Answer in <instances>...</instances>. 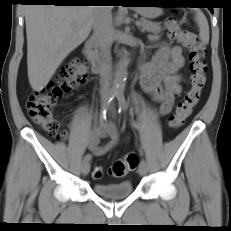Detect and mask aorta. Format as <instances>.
<instances>
[{"mask_svg":"<svg viewBox=\"0 0 231 231\" xmlns=\"http://www.w3.org/2000/svg\"><path fill=\"white\" fill-rule=\"evenodd\" d=\"M127 65H128V60L123 59L119 65V68L117 70V73L114 78V88L117 91H122L124 89V83L127 78Z\"/></svg>","mask_w":231,"mask_h":231,"instance_id":"aorta-1","label":"aorta"}]
</instances>
